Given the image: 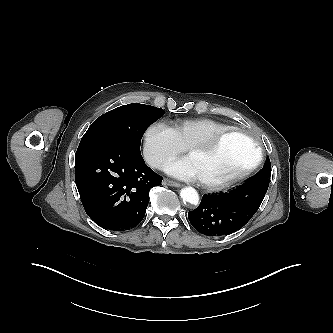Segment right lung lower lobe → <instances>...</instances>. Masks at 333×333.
<instances>
[{
	"mask_svg": "<svg viewBox=\"0 0 333 333\" xmlns=\"http://www.w3.org/2000/svg\"><path fill=\"white\" fill-rule=\"evenodd\" d=\"M75 181L88 216L102 228L125 231L142 221L149 190L162 177L140 152L113 143H85L75 154Z\"/></svg>",
	"mask_w": 333,
	"mask_h": 333,
	"instance_id": "1",
	"label": "right lung lower lobe"
}]
</instances>
